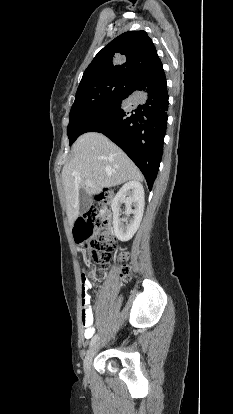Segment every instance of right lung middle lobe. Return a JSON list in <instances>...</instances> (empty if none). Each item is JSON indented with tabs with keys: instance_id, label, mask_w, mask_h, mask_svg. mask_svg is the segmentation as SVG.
<instances>
[{
	"instance_id": "obj_1",
	"label": "right lung middle lobe",
	"mask_w": 233,
	"mask_h": 414,
	"mask_svg": "<svg viewBox=\"0 0 233 414\" xmlns=\"http://www.w3.org/2000/svg\"><path fill=\"white\" fill-rule=\"evenodd\" d=\"M130 85L131 81L109 78L77 90L67 127L70 145L78 138L84 122L123 96Z\"/></svg>"
}]
</instances>
